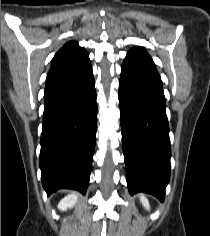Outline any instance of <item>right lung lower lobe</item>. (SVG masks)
<instances>
[{
	"instance_id": "obj_1",
	"label": "right lung lower lobe",
	"mask_w": 210,
	"mask_h": 236,
	"mask_svg": "<svg viewBox=\"0 0 210 236\" xmlns=\"http://www.w3.org/2000/svg\"><path fill=\"white\" fill-rule=\"evenodd\" d=\"M40 169L48 194L85 193L96 141L97 104L91 64L46 81Z\"/></svg>"
}]
</instances>
